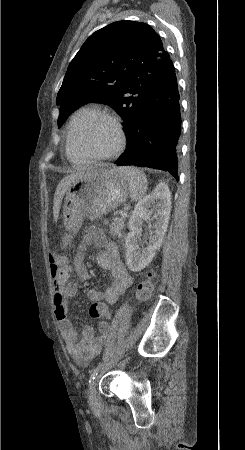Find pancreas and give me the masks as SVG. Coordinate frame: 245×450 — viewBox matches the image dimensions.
Masks as SVG:
<instances>
[{
    "label": "pancreas",
    "instance_id": "pancreas-1",
    "mask_svg": "<svg viewBox=\"0 0 245 450\" xmlns=\"http://www.w3.org/2000/svg\"><path fill=\"white\" fill-rule=\"evenodd\" d=\"M125 220L126 217H116L114 221L109 225L110 232L113 236H122V231L125 227Z\"/></svg>",
    "mask_w": 245,
    "mask_h": 450
}]
</instances>
